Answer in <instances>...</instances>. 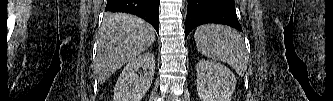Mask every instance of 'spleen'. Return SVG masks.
<instances>
[{"label": "spleen", "instance_id": "obj_1", "mask_svg": "<svg viewBox=\"0 0 333 101\" xmlns=\"http://www.w3.org/2000/svg\"><path fill=\"white\" fill-rule=\"evenodd\" d=\"M198 51L213 60L228 63L240 76L248 66V53L240 34L223 25H202L195 31Z\"/></svg>", "mask_w": 333, "mask_h": 101}]
</instances>
